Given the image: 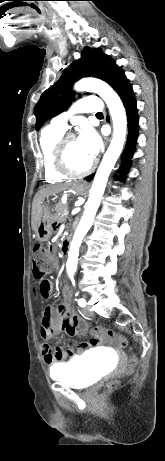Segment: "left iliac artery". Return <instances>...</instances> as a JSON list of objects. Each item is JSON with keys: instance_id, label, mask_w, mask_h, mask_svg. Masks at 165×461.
<instances>
[{"instance_id": "obj_1", "label": "left iliac artery", "mask_w": 165, "mask_h": 461, "mask_svg": "<svg viewBox=\"0 0 165 461\" xmlns=\"http://www.w3.org/2000/svg\"><path fill=\"white\" fill-rule=\"evenodd\" d=\"M78 304H79V306L84 307L86 305V301L81 298V299L78 300Z\"/></svg>"}]
</instances>
